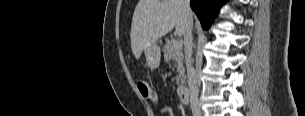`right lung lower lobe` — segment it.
<instances>
[{"label":"right lung lower lobe","mask_w":305,"mask_h":116,"mask_svg":"<svg viewBox=\"0 0 305 116\" xmlns=\"http://www.w3.org/2000/svg\"><path fill=\"white\" fill-rule=\"evenodd\" d=\"M226 0H191L190 6L204 29L209 28L219 8Z\"/></svg>","instance_id":"obj_1"}]
</instances>
